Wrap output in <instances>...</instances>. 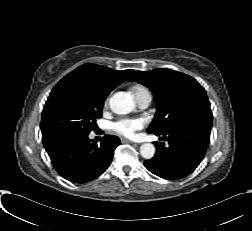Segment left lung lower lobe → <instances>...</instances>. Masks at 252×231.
Returning <instances> with one entry per match:
<instances>
[{
	"label": "left lung lower lobe",
	"instance_id": "1",
	"mask_svg": "<svg viewBox=\"0 0 252 231\" xmlns=\"http://www.w3.org/2000/svg\"><path fill=\"white\" fill-rule=\"evenodd\" d=\"M211 125L191 122L179 125L161 135L155 156L144 161L153 174L167 180L181 179L192 173L202 161L209 144ZM159 136V135H157Z\"/></svg>",
	"mask_w": 252,
	"mask_h": 231
}]
</instances>
